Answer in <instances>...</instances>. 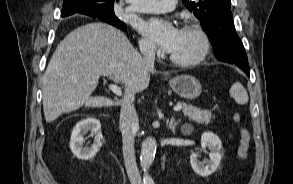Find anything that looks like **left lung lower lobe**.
Here are the masks:
<instances>
[{
    "label": "left lung lower lobe",
    "mask_w": 293,
    "mask_h": 184,
    "mask_svg": "<svg viewBox=\"0 0 293 184\" xmlns=\"http://www.w3.org/2000/svg\"><path fill=\"white\" fill-rule=\"evenodd\" d=\"M221 49L226 55L217 57V59L236 64L249 76L247 55L239 37L229 38L227 43L221 45Z\"/></svg>",
    "instance_id": "1"
}]
</instances>
